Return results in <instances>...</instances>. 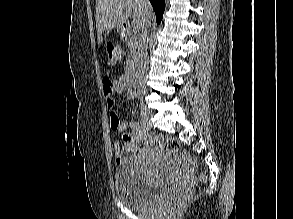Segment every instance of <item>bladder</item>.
<instances>
[{
	"mask_svg": "<svg viewBox=\"0 0 293 219\" xmlns=\"http://www.w3.org/2000/svg\"><path fill=\"white\" fill-rule=\"evenodd\" d=\"M161 154L167 157L166 152ZM166 186V180H149L133 165H121L114 176L116 196L129 207L147 206L164 191Z\"/></svg>",
	"mask_w": 293,
	"mask_h": 219,
	"instance_id": "31cf9c89",
	"label": "bladder"
}]
</instances>
